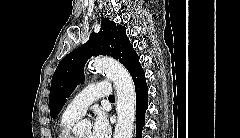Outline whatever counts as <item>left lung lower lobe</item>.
<instances>
[{
  "label": "left lung lower lobe",
  "instance_id": "left-lung-lower-lobe-1",
  "mask_svg": "<svg viewBox=\"0 0 240 138\" xmlns=\"http://www.w3.org/2000/svg\"><path fill=\"white\" fill-rule=\"evenodd\" d=\"M127 69L132 76L136 90V138H141L142 128L145 124V112L148 107V87L137 54L131 60Z\"/></svg>",
  "mask_w": 240,
  "mask_h": 138
}]
</instances>
